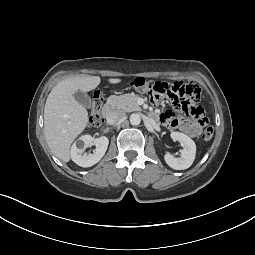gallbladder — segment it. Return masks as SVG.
I'll use <instances>...</instances> for the list:
<instances>
[{
	"mask_svg": "<svg viewBox=\"0 0 255 255\" xmlns=\"http://www.w3.org/2000/svg\"><path fill=\"white\" fill-rule=\"evenodd\" d=\"M74 97L76 99V101L81 104L83 107L85 108H90L91 107V99L89 97V95H87L86 93L78 90L75 94Z\"/></svg>",
	"mask_w": 255,
	"mask_h": 255,
	"instance_id": "bac80fb5",
	"label": "gallbladder"
}]
</instances>
